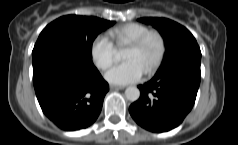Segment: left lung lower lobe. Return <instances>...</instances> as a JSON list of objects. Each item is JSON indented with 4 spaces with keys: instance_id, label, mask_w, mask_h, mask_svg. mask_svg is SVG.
Wrapping results in <instances>:
<instances>
[{
    "instance_id": "left-lung-lower-lobe-1",
    "label": "left lung lower lobe",
    "mask_w": 238,
    "mask_h": 145,
    "mask_svg": "<svg viewBox=\"0 0 238 145\" xmlns=\"http://www.w3.org/2000/svg\"><path fill=\"white\" fill-rule=\"evenodd\" d=\"M200 78V60L157 71L149 82L139 85L140 98L129 107L132 118L151 132L177 127L195 103Z\"/></svg>"
}]
</instances>
